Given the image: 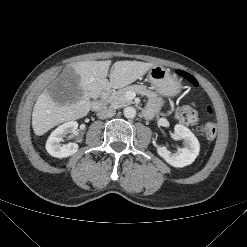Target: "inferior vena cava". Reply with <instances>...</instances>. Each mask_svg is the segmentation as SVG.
<instances>
[{"label":"inferior vena cava","instance_id":"obj_1","mask_svg":"<svg viewBox=\"0 0 247 247\" xmlns=\"http://www.w3.org/2000/svg\"><path fill=\"white\" fill-rule=\"evenodd\" d=\"M116 114V110L114 108H102L98 111L97 116L100 119H106V118H111Z\"/></svg>","mask_w":247,"mask_h":247}]
</instances>
